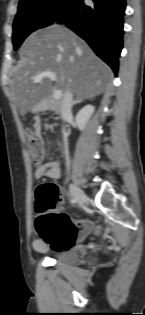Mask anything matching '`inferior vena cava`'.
Segmentation results:
<instances>
[{
    "label": "inferior vena cava",
    "mask_w": 145,
    "mask_h": 315,
    "mask_svg": "<svg viewBox=\"0 0 145 315\" xmlns=\"http://www.w3.org/2000/svg\"><path fill=\"white\" fill-rule=\"evenodd\" d=\"M73 94L70 90H67L64 93L62 103H61V117L65 121L68 117L71 116V109L73 105Z\"/></svg>",
    "instance_id": "inferior-vena-cava-1"
}]
</instances>
